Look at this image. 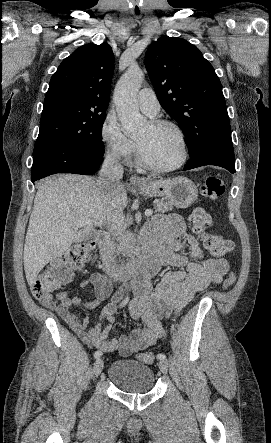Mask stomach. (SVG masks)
Masks as SVG:
<instances>
[{
  "label": "stomach",
  "mask_w": 271,
  "mask_h": 443,
  "mask_svg": "<svg viewBox=\"0 0 271 443\" xmlns=\"http://www.w3.org/2000/svg\"><path fill=\"white\" fill-rule=\"evenodd\" d=\"M145 186L133 188L138 190L142 196L148 198H158L163 196L170 204L176 208H189L197 200V186L188 178H168V180H142Z\"/></svg>",
  "instance_id": "stomach-1"
}]
</instances>
